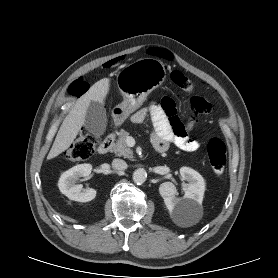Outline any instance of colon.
Returning <instances> with one entry per match:
<instances>
[{
  "label": "colon",
  "instance_id": "obj_1",
  "mask_svg": "<svg viewBox=\"0 0 278 278\" xmlns=\"http://www.w3.org/2000/svg\"><path fill=\"white\" fill-rule=\"evenodd\" d=\"M173 83L181 90L192 94L194 85L192 81L181 71H173L171 74ZM89 88L88 83L83 79L73 81L69 86V93L73 96L83 95ZM189 106L195 115L208 114L212 105L205 98L198 95H191ZM95 140L88 136L77 139L66 151L65 156L68 160L78 161L88 159L94 152ZM207 154L210 165L215 174L221 175L224 172L227 155L226 146L219 138H212L207 144Z\"/></svg>",
  "mask_w": 278,
  "mask_h": 278
}]
</instances>
